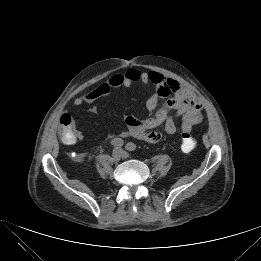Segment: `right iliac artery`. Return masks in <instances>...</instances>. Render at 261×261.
Here are the masks:
<instances>
[{
    "label": "right iliac artery",
    "mask_w": 261,
    "mask_h": 261,
    "mask_svg": "<svg viewBox=\"0 0 261 261\" xmlns=\"http://www.w3.org/2000/svg\"><path fill=\"white\" fill-rule=\"evenodd\" d=\"M110 144L115 148H119V147L123 146L124 141L120 138H115V139L111 140Z\"/></svg>",
    "instance_id": "right-iliac-artery-1"
}]
</instances>
